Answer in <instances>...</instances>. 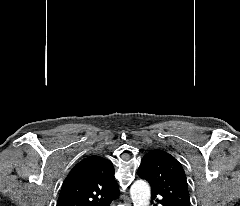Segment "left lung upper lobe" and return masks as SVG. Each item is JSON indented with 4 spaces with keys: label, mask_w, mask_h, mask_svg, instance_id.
<instances>
[{
    "label": "left lung upper lobe",
    "mask_w": 240,
    "mask_h": 206,
    "mask_svg": "<svg viewBox=\"0 0 240 206\" xmlns=\"http://www.w3.org/2000/svg\"><path fill=\"white\" fill-rule=\"evenodd\" d=\"M138 175L168 206H190L188 186L181 164L169 153L154 149L142 159Z\"/></svg>",
    "instance_id": "1"
}]
</instances>
